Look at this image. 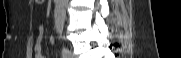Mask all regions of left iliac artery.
<instances>
[{"label":"left iliac artery","instance_id":"1","mask_svg":"<svg viewBox=\"0 0 181 58\" xmlns=\"http://www.w3.org/2000/svg\"><path fill=\"white\" fill-rule=\"evenodd\" d=\"M60 37L62 40L64 39V37L62 35ZM62 54H63V58H69L70 54H71L70 51L67 49V47H65L64 45H63V49H62Z\"/></svg>","mask_w":181,"mask_h":58}]
</instances>
